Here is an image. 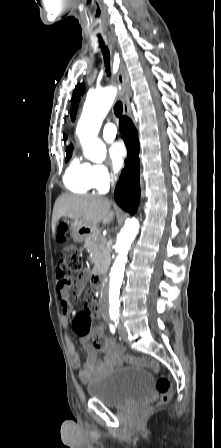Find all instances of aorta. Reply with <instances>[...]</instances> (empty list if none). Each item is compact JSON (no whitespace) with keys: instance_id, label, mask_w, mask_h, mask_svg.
I'll return each mask as SVG.
<instances>
[{"instance_id":"obj_1","label":"aorta","mask_w":221,"mask_h":448,"mask_svg":"<svg viewBox=\"0 0 221 448\" xmlns=\"http://www.w3.org/2000/svg\"><path fill=\"white\" fill-rule=\"evenodd\" d=\"M115 96L116 89L114 87H106L89 94L77 124L76 133L84 155L95 163H101L106 158V146L97 138V135ZM138 230V220L131 218L126 220L124 227L117 235L114 248L118 255L111 269L109 284L104 292L109 300V313L112 315L119 313L120 288L124 277L127 254Z\"/></svg>"}]
</instances>
